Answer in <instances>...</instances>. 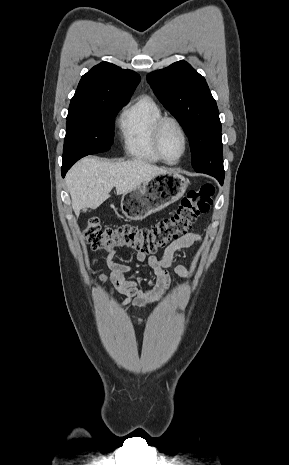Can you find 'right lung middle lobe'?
<instances>
[{"instance_id": "obj_1", "label": "right lung middle lobe", "mask_w": 289, "mask_h": 465, "mask_svg": "<svg viewBox=\"0 0 289 465\" xmlns=\"http://www.w3.org/2000/svg\"><path fill=\"white\" fill-rule=\"evenodd\" d=\"M128 100L112 101L89 116L67 117L63 161L107 151L113 143V119Z\"/></svg>"}]
</instances>
